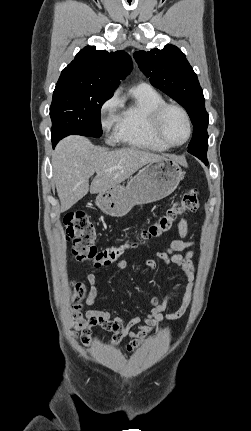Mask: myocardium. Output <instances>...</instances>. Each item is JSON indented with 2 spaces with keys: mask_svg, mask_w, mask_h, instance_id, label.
Masks as SVG:
<instances>
[{
  "mask_svg": "<svg viewBox=\"0 0 251 431\" xmlns=\"http://www.w3.org/2000/svg\"><path fill=\"white\" fill-rule=\"evenodd\" d=\"M170 108H174L177 109L178 111L181 112V114L183 115L185 122H186V126H187V135L185 137V139L179 143H173L170 142L163 134L162 129H161V122H162V118L164 113L170 109ZM150 125H151V130L153 135L164 145H166L167 147H179L184 145L191 137L192 134V124H191V119L190 116L188 114V112L186 111V109L177 104V103H173V102H163L161 104H159L152 112L151 114V120H150Z\"/></svg>",
  "mask_w": 251,
  "mask_h": 431,
  "instance_id": "myocardium-1",
  "label": "myocardium"
}]
</instances>
